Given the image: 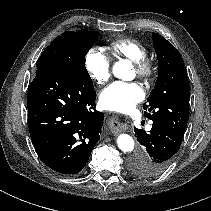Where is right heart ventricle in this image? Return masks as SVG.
Segmentation results:
<instances>
[{"mask_svg": "<svg viewBox=\"0 0 211 211\" xmlns=\"http://www.w3.org/2000/svg\"><path fill=\"white\" fill-rule=\"evenodd\" d=\"M109 49L115 57H125L131 61L143 59L147 55L146 48L132 38H120L109 44Z\"/></svg>", "mask_w": 211, "mask_h": 211, "instance_id": "e07e8e85", "label": "right heart ventricle"}]
</instances>
